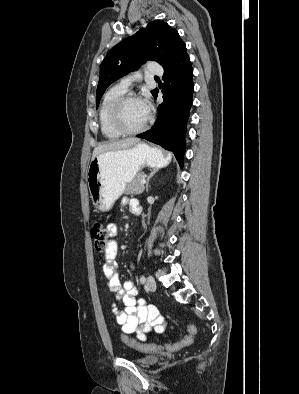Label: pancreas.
<instances>
[{"label":"pancreas","instance_id":"cf45deb5","mask_svg":"<svg viewBox=\"0 0 299 394\" xmlns=\"http://www.w3.org/2000/svg\"><path fill=\"white\" fill-rule=\"evenodd\" d=\"M144 173H138L134 180L129 183L125 188V194L127 195H139L144 191V185L141 184L142 179H144Z\"/></svg>","mask_w":299,"mask_h":394}]
</instances>
